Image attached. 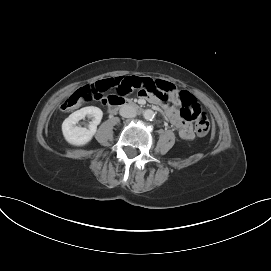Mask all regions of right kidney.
Here are the masks:
<instances>
[{"mask_svg":"<svg viewBox=\"0 0 271 271\" xmlns=\"http://www.w3.org/2000/svg\"><path fill=\"white\" fill-rule=\"evenodd\" d=\"M86 116L92 118L89 128L77 126L76 124ZM103 112L98 107L88 106L73 112L62 124V132L66 141L72 145L81 146L91 141L100 124Z\"/></svg>","mask_w":271,"mask_h":271,"instance_id":"obj_1","label":"right kidney"}]
</instances>
